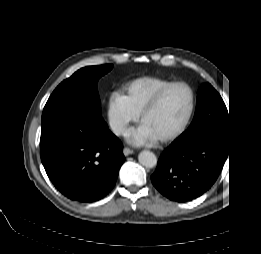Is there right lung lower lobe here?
<instances>
[{"label": "right lung lower lobe", "mask_w": 261, "mask_h": 254, "mask_svg": "<svg viewBox=\"0 0 261 254\" xmlns=\"http://www.w3.org/2000/svg\"><path fill=\"white\" fill-rule=\"evenodd\" d=\"M101 117L75 105L45 107L40 155L54 186L66 197L93 202L114 187L125 157Z\"/></svg>", "instance_id": "98d812e1"}]
</instances>
